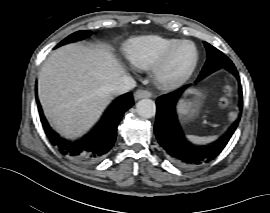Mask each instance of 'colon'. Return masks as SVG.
<instances>
[{
    "instance_id": "1",
    "label": "colon",
    "mask_w": 270,
    "mask_h": 213,
    "mask_svg": "<svg viewBox=\"0 0 270 213\" xmlns=\"http://www.w3.org/2000/svg\"><path fill=\"white\" fill-rule=\"evenodd\" d=\"M224 93H225V95H230L231 93H232V90H231V88L230 87H226L225 89H224Z\"/></svg>"
}]
</instances>
